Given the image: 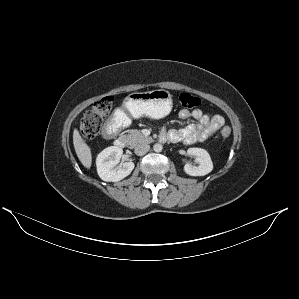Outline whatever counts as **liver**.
<instances>
[{"label": "liver", "mask_w": 299, "mask_h": 299, "mask_svg": "<svg viewBox=\"0 0 299 299\" xmlns=\"http://www.w3.org/2000/svg\"><path fill=\"white\" fill-rule=\"evenodd\" d=\"M73 144L76 154L84 167L89 169L92 165V154L90 147L82 139L77 129L73 132Z\"/></svg>", "instance_id": "liver-1"}]
</instances>
